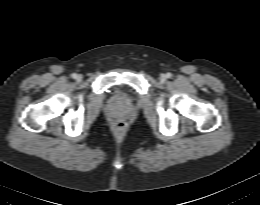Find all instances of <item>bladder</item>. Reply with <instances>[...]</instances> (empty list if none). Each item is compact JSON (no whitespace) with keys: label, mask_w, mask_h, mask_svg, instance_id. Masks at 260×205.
<instances>
[{"label":"bladder","mask_w":260,"mask_h":205,"mask_svg":"<svg viewBox=\"0 0 260 205\" xmlns=\"http://www.w3.org/2000/svg\"><path fill=\"white\" fill-rule=\"evenodd\" d=\"M113 102L120 103L124 101V98L120 91H115L112 97Z\"/></svg>","instance_id":"1"}]
</instances>
